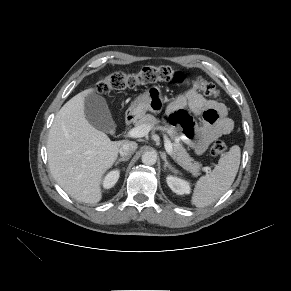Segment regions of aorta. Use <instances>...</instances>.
I'll return each mask as SVG.
<instances>
[{
	"mask_svg": "<svg viewBox=\"0 0 291 291\" xmlns=\"http://www.w3.org/2000/svg\"><path fill=\"white\" fill-rule=\"evenodd\" d=\"M141 159L145 165H154L157 161V155L154 152H145Z\"/></svg>",
	"mask_w": 291,
	"mask_h": 291,
	"instance_id": "obj_1",
	"label": "aorta"
}]
</instances>
